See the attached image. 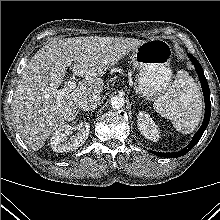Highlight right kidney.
Wrapping results in <instances>:
<instances>
[{"instance_id":"ca27d5eb","label":"right kidney","mask_w":220,"mask_h":220,"mask_svg":"<svg viewBox=\"0 0 220 220\" xmlns=\"http://www.w3.org/2000/svg\"><path fill=\"white\" fill-rule=\"evenodd\" d=\"M77 131L75 136L68 139L73 131ZM90 125L87 122H80L75 126L65 124L59 127L50 139V145L55 152H69L81 147L88 138Z\"/></svg>"}]
</instances>
